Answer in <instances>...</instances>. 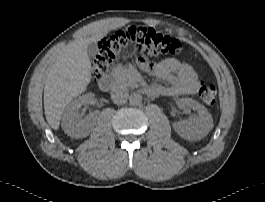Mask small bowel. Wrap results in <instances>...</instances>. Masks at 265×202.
I'll return each mask as SVG.
<instances>
[{
  "label": "small bowel",
  "mask_w": 265,
  "mask_h": 202,
  "mask_svg": "<svg viewBox=\"0 0 265 202\" xmlns=\"http://www.w3.org/2000/svg\"><path fill=\"white\" fill-rule=\"evenodd\" d=\"M145 70L155 79L168 83L167 86H151L155 89L152 95L184 96L194 94L199 88L198 76L193 67L177 59H165Z\"/></svg>",
  "instance_id": "obj_1"
}]
</instances>
